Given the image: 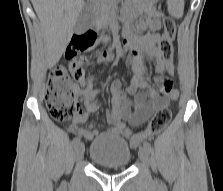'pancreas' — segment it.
<instances>
[{
    "mask_svg": "<svg viewBox=\"0 0 223 191\" xmlns=\"http://www.w3.org/2000/svg\"><path fill=\"white\" fill-rule=\"evenodd\" d=\"M118 0H97L93 6V22L97 29L108 26L114 15Z\"/></svg>",
    "mask_w": 223,
    "mask_h": 191,
    "instance_id": "pancreas-1",
    "label": "pancreas"
}]
</instances>
